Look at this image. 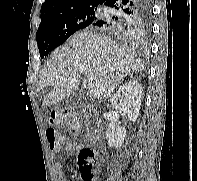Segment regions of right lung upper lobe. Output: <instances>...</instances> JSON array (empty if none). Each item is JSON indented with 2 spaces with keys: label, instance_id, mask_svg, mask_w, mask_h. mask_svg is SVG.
I'll list each match as a JSON object with an SVG mask.
<instances>
[{
  "label": "right lung upper lobe",
  "instance_id": "1",
  "mask_svg": "<svg viewBox=\"0 0 197 181\" xmlns=\"http://www.w3.org/2000/svg\"><path fill=\"white\" fill-rule=\"evenodd\" d=\"M108 0H46L41 7V20L85 6L105 4Z\"/></svg>",
  "mask_w": 197,
  "mask_h": 181
}]
</instances>
